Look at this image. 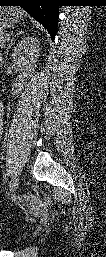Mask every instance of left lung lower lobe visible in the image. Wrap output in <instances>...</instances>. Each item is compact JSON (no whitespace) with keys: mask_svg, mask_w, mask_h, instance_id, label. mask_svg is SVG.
Returning a JSON list of instances; mask_svg holds the SVG:
<instances>
[{"mask_svg":"<svg viewBox=\"0 0 106 257\" xmlns=\"http://www.w3.org/2000/svg\"><path fill=\"white\" fill-rule=\"evenodd\" d=\"M2 6H21L49 32L52 40L57 31L59 4L57 0H0Z\"/></svg>","mask_w":106,"mask_h":257,"instance_id":"0a47b994","label":"left lung lower lobe"}]
</instances>
